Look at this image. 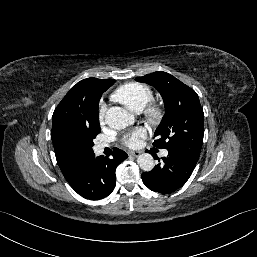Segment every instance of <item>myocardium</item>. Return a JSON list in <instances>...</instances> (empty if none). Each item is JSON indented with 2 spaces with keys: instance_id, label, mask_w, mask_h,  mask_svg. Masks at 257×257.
<instances>
[{
  "instance_id": "myocardium-1",
  "label": "myocardium",
  "mask_w": 257,
  "mask_h": 257,
  "mask_svg": "<svg viewBox=\"0 0 257 257\" xmlns=\"http://www.w3.org/2000/svg\"><path fill=\"white\" fill-rule=\"evenodd\" d=\"M145 116L152 124H158L163 116L164 109L160 104L148 103L145 107Z\"/></svg>"
}]
</instances>
